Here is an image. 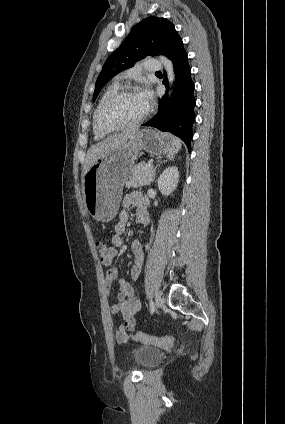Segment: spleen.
I'll use <instances>...</instances> for the list:
<instances>
[{
	"mask_svg": "<svg viewBox=\"0 0 285 424\" xmlns=\"http://www.w3.org/2000/svg\"><path fill=\"white\" fill-rule=\"evenodd\" d=\"M180 149H181V141L178 138L174 137L172 142V147L169 150L168 157L172 158L176 153H178Z\"/></svg>",
	"mask_w": 285,
	"mask_h": 424,
	"instance_id": "obj_1",
	"label": "spleen"
}]
</instances>
